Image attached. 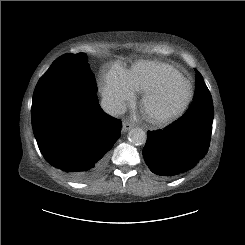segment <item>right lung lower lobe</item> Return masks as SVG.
Segmentation results:
<instances>
[{"instance_id":"right-lung-lower-lobe-1","label":"right lung lower lobe","mask_w":245,"mask_h":245,"mask_svg":"<svg viewBox=\"0 0 245 245\" xmlns=\"http://www.w3.org/2000/svg\"><path fill=\"white\" fill-rule=\"evenodd\" d=\"M73 98L77 99L68 100ZM32 128L47 162L71 180L83 182L105 169L121 121L101 111L96 95H72L32 111Z\"/></svg>"}]
</instances>
